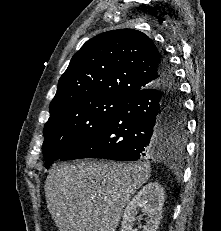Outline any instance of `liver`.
Segmentation results:
<instances>
[{
	"mask_svg": "<svg viewBox=\"0 0 221 231\" xmlns=\"http://www.w3.org/2000/svg\"><path fill=\"white\" fill-rule=\"evenodd\" d=\"M150 174L148 163H58L45 181L47 208L59 231H116L124 207Z\"/></svg>",
	"mask_w": 221,
	"mask_h": 231,
	"instance_id": "liver-1",
	"label": "liver"
}]
</instances>
